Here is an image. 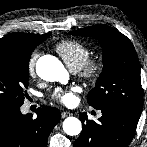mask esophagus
Returning <instances> with one entry per match:
<instances>
[{
    "instance_id": "esophagus-1",
    "label": "esophagus",
    "mask_w": 147,
    "mask_h": 147,
    "mask_svg": "<svg viewBox=\"0 0 147 147\" xmlns=\"http://www.w3.org/2000/svg\"><path fill=\"white\" fill-rule=\"evenodd\" d=\"M70 115H71V113L68 112V111H63V112L61 113L62 118H66L67 116H70Z\"/></svg>"
}]
</instances>
